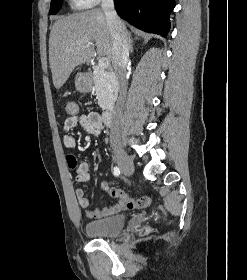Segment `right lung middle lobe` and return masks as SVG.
<instances>
[{
  "mask_svg": "<svg viewBox=\"0 0 247 280\" xmlns=\"http://www.w3.org/2000/svg\"><path fill=\"white\" fill-rule=\"evenodd\" d=\"M62 0H52L50 5V14H56L60 8Z\"/></svg>",
  "mask_w": 247,
  "mask_h": 280,
  "instance_id": "1",
  "label": "right lung middle lobe"
}]
</instances>
